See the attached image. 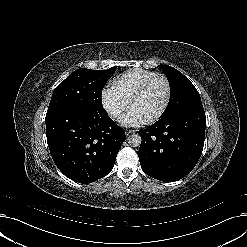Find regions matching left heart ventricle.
I'll return each mask as SVG.
<instances>
[{
	"mask_svg": "<svg viewBox=\"0 0 247 247\" xmlns=\"http://www.w3.org/2000/svg\"><path fill=\"white\" fill-rule=\"evenodd\" d=\"M154 90H155V94H150V97L153 98V100L151 99L150 103H147L145 105L144 111L145 113H152L155 112L158 107H156V104H160L163 101L164 98V86L161 83H157L154 86ZM157 101V102H156ZM153 103V104H152Z\"/></svg>",
	"mask_w": 247,
	"mask_h": 247,
	"instance_id": "left-heart-ventricle-1",
	"label": "left heart ventricle"
}]
</instances>
